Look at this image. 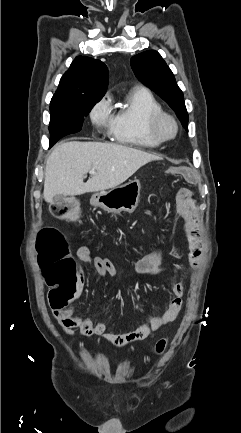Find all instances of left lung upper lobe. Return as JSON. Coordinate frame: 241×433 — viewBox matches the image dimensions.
Listing matches in <instances>:
<instances>
[{
  "label": "left lung upper lobe",
  "instance_id": "obj_1",
  "mask_svg": "<svg viewBox=\"0 0 241 433\" xmlns=\"http://www.w3.org/2000/svg\"><path fill=\"white\" fill-rule=\"evenodd\" d=\"M130 63L136 77L168 103L188 131V113L183 93L161 55L149 50L133 56Z\"/></svg>",
  "mask_w": 241,
  "mask_h": 433
}]
</instances>
